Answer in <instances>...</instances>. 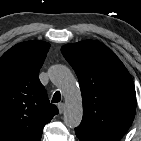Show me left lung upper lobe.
I'll return each instance as SVG.
<instances>
[{"label":"left lung upper lobe","instance_id":"1","mask_svg":"<svg viewBox=\"0 0 141 141\" xmlns=\"http://www.w3.org/2000/svg\"><path fill=\"white\" fill-rule=\"evenodd\" d=\"M75 70L83 100V118L75 128L84 141H119L136 112L133 80L120 59L103 43L85 40L61 48Z\"/></svg>","mask_w":141,"mask_h":141}]
</instances>
